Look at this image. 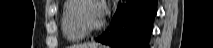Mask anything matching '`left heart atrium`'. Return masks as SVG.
Returning a JSON list of instances; mask_svg holds the SVG:
<instances>
[{
  "instance_id": "obj_1",
  "label": "left heart atrium",
  "mask_w": 213,
  "mask_h": 48,
  "mask_svg": "<svg viewBox=\"0 0 213 48\" xmlns=\"http://www.w3.org/2000/svg\"><path fill=\"white\" fill-rule=\"evenodd\" d=\"M107 11V6H106V2L105 1H98L97 3V12H98V15L100 17V19L103 18V16L105 15Z\"/></svg>"
}]
</instances>
